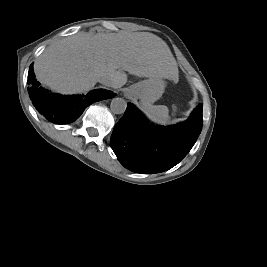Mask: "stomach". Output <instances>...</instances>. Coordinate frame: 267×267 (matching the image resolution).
Wrapping results in <instances>:
<instances>
[{
	"mask_svg": "<svg viewBox=\"0 0 267 267\" xmlns=\"http://www.w3.org/2000/svg\"><path fill=\"white\" fill-rule=\"evenodd\" d=\"M165 86L164 80L149 78L130 86L126 94L140 99L143 103H154L164 93Z\"/></svg>",
	"mask_w": 267,
	"mask_h": 267,
	"instance_id": "1",
	"label": "stomach"
}]
</instances>
